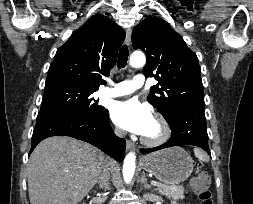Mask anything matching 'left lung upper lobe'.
<instances>
[{
    "label": "left lung upper lobe",
    "mask_w": 253,
    "mask_h": 204,
    "mask_svg": "<svg viewBox=\"0 0 253 204\" xmlns=\"http://www.w3.org/2000/svg\"><path fill=\"white\" fill-rule=\"evenodd\" d=\"M132 44L147 56L144 75L158 81L150 88L148 101L168 123L185 109L205 106L198 58L165 20L141 21L133 29Z\"/></svg>",
    "instance_id": "obj_1"
}]
</instances>
